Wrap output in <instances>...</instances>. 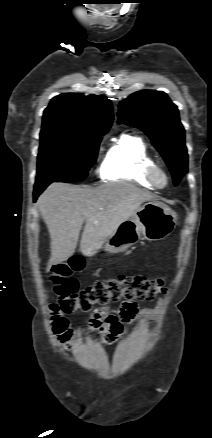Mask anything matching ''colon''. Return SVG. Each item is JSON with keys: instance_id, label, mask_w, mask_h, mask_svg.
<instances>
[{"instance_id": "5ec220e1", "label": "colon", "mask_w": 212, "mask_h": 438, "mask_svg": "<svg viewBox=\"0 0 212 438\" xmlns=\"http://www.w3.org/2000/svg\"><path fill=\"white\" fill-rule=\"evenodd\" d=\"M84 261L79 256L54 265L50 282L59 296L51 305L52 322L57 334L64 333L67 320L63 313L88 311L93 305H108L111 302L126 300H153L166 292L162 279H148L142 276H124L108 281H99L79 290L73 274L81 271Z\"/></svg>"}]
</instances>
